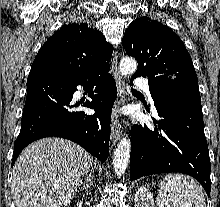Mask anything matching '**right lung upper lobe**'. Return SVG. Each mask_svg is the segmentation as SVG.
Segmentation results:
<instances>
[{
	"mask_svg": "<svg viewBox=\"0 0 220 207\" xmlns=\"http://www.w3.org/2000/svg\"><path fill=\"white\" fill-rule=\"evenodd\" d=\"M113 46L87 22L70 23L47 39L32 63L29 76L55 74L82 78L101 65H108Z\"/></svg>",
	"mask_w": 220,
	"mask_h": 207,
	"instance_id": "1",
	"label": "right lung upper lobe"
}]
</instances>
